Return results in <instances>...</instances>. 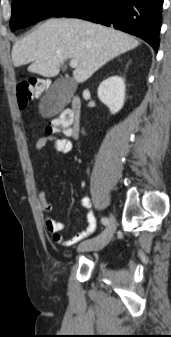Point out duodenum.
<instances>
[{
    "mask_svg": "<svg viewBox=\"0 0 171 337\" xmlns=\"http://www.w3.org/2000/svg\"><path fill=\"white\" fill-rule=\"evenodd\" d=\"M80 107V99L77 95H74L71 98V108L64 111L70 121L71 135L73 137H77L80 132Z\"/></svg>",
    "mask_w": 171,
    "mask_h": 337,
    "instance_id": "1",
    "label": "duodenum"
}]
</instances>
